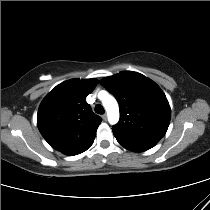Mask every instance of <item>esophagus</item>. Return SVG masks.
<instances>
[{
	"label": "esophagus",
	"mask_w": 210,
	"mask_h": 210,
	"mask_svg": "<svg viewBox=\"0 0 210 210\" xmlns=\"http://www.w3.org/2000/svg\"><path fill=\"white\" fill-rule=\"evenodd\" d=\"M102 119H103V121H107V115L106 114H103L102 115Z\"/></svg>",
	"instance_id": "1"
}]
</instances>
